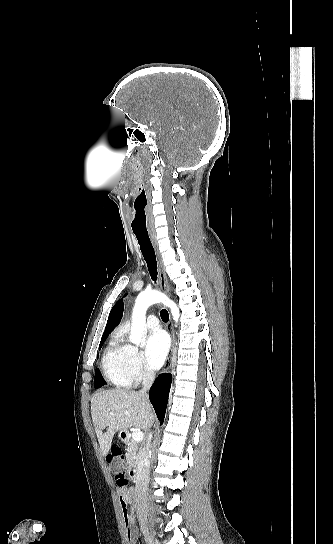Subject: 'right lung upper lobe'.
I'll list each match as a JSON object with an SVG mask.
<instances>
[{"mask_svg":"<svg viewBox=\"0 0 333 544\" xmlns=\"http://www.w3.org/2000/svg\"><path fill=\"white\" fill-rule=\"evenodd\" d=\"M123 315V300L120 299L112 308L102 338H107L110 332L119 324Z\"/></svg>","mask_w":333,"mask_h":544,"instance_id":"right-lung-upper-lobe-1","label":"right lung upper lobe"}]
</instances>
